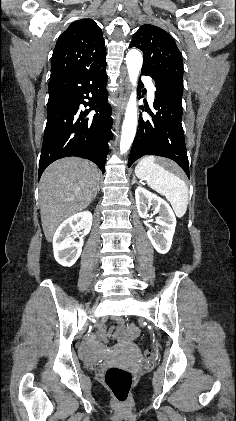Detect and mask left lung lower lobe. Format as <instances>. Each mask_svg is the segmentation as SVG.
<instances>
[{
  "instance_id": "0a47b994",
  "label": "left lung lower lobe",
  "mask_w": 236,
  "mask_h": 421,
  "mask_svg": "<svg viewBox=\"0 0 236 421\" xmlns=\"http://www.w3.org/2000/svg\"><path fill=\"white\" fill-rule=\"evenodd\" d=\"M141 73L155 81V99L152 119L139 116V128L134 139L128 167L144 155H156L174 160L189 177V163L185 146L182 119V87L168 80L154 78L148 72ZM143 86L140 83V87ZM143 108V107H142Z\"/></svg>"
}]
</instances>
